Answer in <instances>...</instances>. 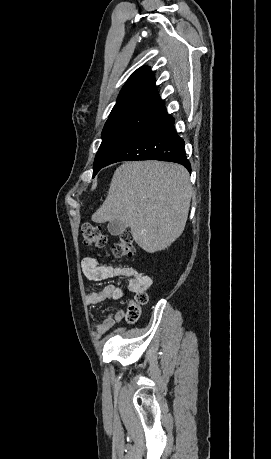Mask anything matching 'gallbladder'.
I'll list each match as a JSON object with an SVG mask.
<instances>
[{
  "mask_svg": "<svg viewBox=\"0 0 271 459\" xmlns=\"http://www.w3.org/2000/svg\"><path fill=\"white\" fill-rule=\"evenodd\" d=\"M107 228L111 235H120V233H123L128 226L123 224V222H109Z\"/></svg>",
  "mask_w": 271,
  "mask_h": 459,
  "instance_id": "gallbladder-1",
  "label": "gallbladder"
}]
</instances>
